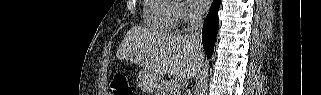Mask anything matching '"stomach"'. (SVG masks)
<instances>
[{
  "mask_svg": "<svg viewBox=\"0 0 321 95\" xmlns=\"http://www.w3.org/2000/svg\"><path fill=\"white\" fill-rule=\"evenodd\" d=\"M138 85L144 91H152L156 88L157 78L146 70H141L138 76Z\"/></svg>",
  "mask_w": 321,
  "mask_h": 95,
  "instance_id": "stomach-1",
  "label": "stomach"
}]
</instances>
